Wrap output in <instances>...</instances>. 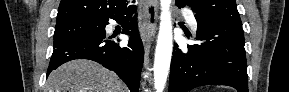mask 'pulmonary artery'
<instances>
[{
  "label": "pulmonary artery",
  "mask_w": 289,
  "mask_h": 92,
  "mask_svg": "<svg viewBox=\"0 0 289 92\" xmlns=\"http://www.w3.org/2000/svg\"><path fill=\"white\" fill-rule=\"evenodd\" d=\"M183 13L186 16L187 22L193 30L197 29V21L194 14L189 10H184Z\"/></svg>",
  "instance_id": "e3ab8cb5"
}]
</instances>
